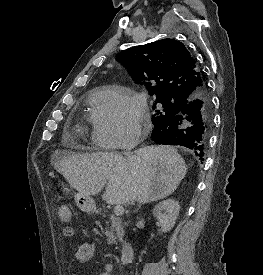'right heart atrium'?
Here are the masks:
<instances>
[{
  "mask_svg": "<svg viewBox=\"0 0 263 275\" xmlns=\"http://www.w3.org/2000/svg\"><path fill=\"white\" fill-rule=\"evenodd\" d=\"M93 140L105 149L124 148L140 137L146 121L141 98L126 89L107 87L93 97Z\"/></svg>",
  "mask_w": 263,
  "mask_h": 275,
  "instance_id": "1",
  "label": "right heart atrium"
}]
</instances>
